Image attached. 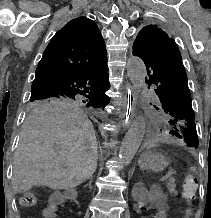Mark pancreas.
Segmentation results:
<instances>
[{
    "label": "pancreas",
    "instance_id": "1",
    "mask_svg": "<svg viewBox=\"0 0 211 218\" xmlns=\"http://www.w3.org/2000/svg\"><path fill=\"white\" fill-rule=\"evenodd\" d=\"M174 182L175 180H170V182L167 184V188L170 194H177V192H175L176 184H174Z\"/></svg>",
    "mask_w": 211,
    "mask_h": 218
}]
</instances>
